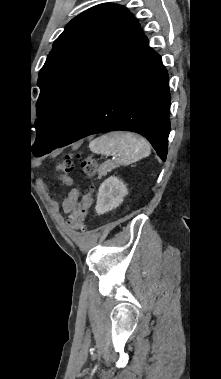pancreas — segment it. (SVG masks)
Here are the masks:
<instances>
[{"instance_id":"1","label":"pancreas","mask_w":221,"mask_h":379,"mask_svg":"<svg viewBox=\"0 0 221 379\" xmlns=\"http://www.w3.org/2000/svg\"><path fill=\"white\" fill-rule=\"evenodd\" d=\"M117 165L115 163L105 162L100 165L98 172L99 176L98 179H100L102 176H105L107 172H110L113 170Z\"/></svg>"}]
</instances>
